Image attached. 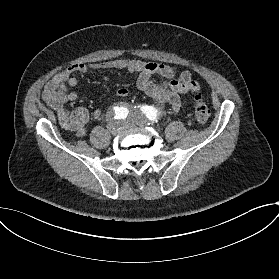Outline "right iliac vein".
I'll use <instances>...</instances> for the list:
<instances>
[{"mask_svg": "<svg viewBox=\"0 0 279 279\" xmlns=\"http://www.w3.org/2000/svg\"><path fill=\"white\" fill-rule=\"evenodd\" d=\"M117 122L114 120H110L108 124V129L112 134H117Z\"/></svg>", "mask_w": 279, "mask_h": 279, "instance_id": "right-iliac-vein-1", "label": "right iliac vein"}]
</instances>
